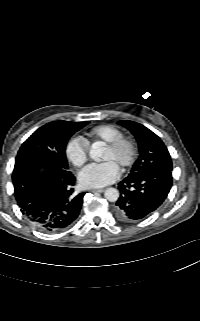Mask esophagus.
<instances>
[{
	"instance_id": "obj_1",
	"label": "esophagus",
	"mask_w": 200,
	"mask_h": 321,
	"mask_svg": "<svg viewBox=\"0 0 200 321\" xmlns=\"http://www.w3.org/2000/svg\"><path fill=\"white\" fill-rule=\"evenodd\" d=\"M104 189H93L92 192L94 193H102Z\"/></svg>"
}]
</instances>
